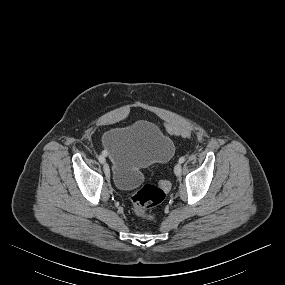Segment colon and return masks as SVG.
<instances>
[{"label":"colon","instance_id":"obj_1","mask_svg":"<svg viewBox=\"0 0 285 285\" xmlns=\"http://www.w3.org/2000/svg\"><path fill=\"white\" fill-rule=\"evenodd\" d=\"M166 131L172 136H181L188 138L191 136V131L188 128L166 123ZM170 189V183L163 181L159 186L144 185L130 195V201L135 212L146 220H154L149 210L159 205L165 198L166 192Z\"/></svg>","mask_w":285,"mask_h":285}]
</instances>
